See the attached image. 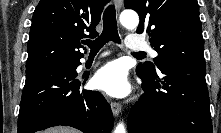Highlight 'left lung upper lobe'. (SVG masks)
Returning a JSON list of instances; mask_svg holds the SVG:
<instances>
[{
	"label": "left lung upper lobe",
	"instance_id": "obj_1",
	"mask_svg": "<svg viewBox=\"0 0 221 133\" xmlns=\"http://www.w3.org/2000/svg\"><path fill=\"white\" fill-rule=\"evenodd\" d=\"M126 9L140 17L137 33H147L151 46L158 52V68L171 62L205 66L204 40L196 0H125ZM149 74L156 73L152 63L138 66Z\"/></svg>",
	"mask_w": 221,
	"mask_h": 133
}]
</instances>
